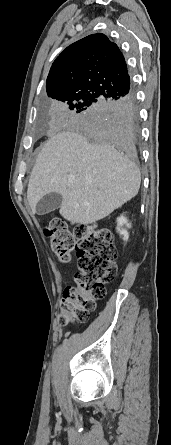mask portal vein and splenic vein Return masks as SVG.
I'll return each mask as SVG.
<instances>
[{"mask_svg": "<svg viewBox=\"0 0 171 445\" xmlns=\"http://www.w3.org/2000/svg\"><path fill=\"white\" fill-rule=\"evenodd\" d=\"M69 180H70V181H72V180H73V178L71 177V178H69Z\"/></svg>", "mask_w": 171, "mask_h": 445, "instance_id": "obj_1", "label": "portal vein and splenic vein"}]
</instances>
